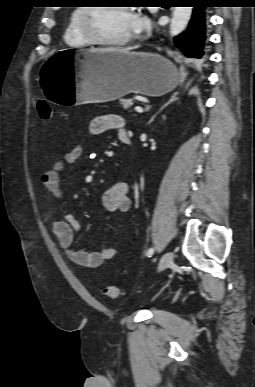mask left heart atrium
<instances>
[{
	"mask_svg": "<svg viewBox=\"0 0 255 387\" xmlns=\"http://www.w3.org/2000/svg\"><path fill=\"white\" fill-rule=\"evenodd\" d=\"M150 29V22L144 16L132 15V31L133 34L140 33L142 31H148Z\"/></svg>",
	"mask_w": 255,
	"mask_h": 387,
	"instance_id": "1",
	"label": "left heart atrium"
}]
</instances>
